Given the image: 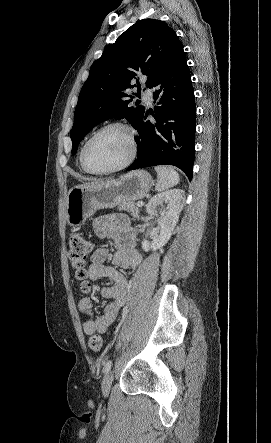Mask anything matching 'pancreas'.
Segmentation results:
<instances>
[{
	"label": "pancreas",
	"instance_id": "1",
	"mask_svg": "<svg viewBox=\"0 0 271 443\" xmlns=\"http://www.w3.org/2000/svg\"><path fill=\"white\" fill-rule=\"evenodd\" d=\"M118 210H126L133 218H139V208H137L135 202H123L118 204Z\"/></svg>",
	"mask_w": 271,
	"mask_h": 443
}]
</instances>
